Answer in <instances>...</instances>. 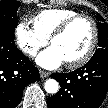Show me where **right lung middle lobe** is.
<instances>
[{
  "label": "right lung middle lobe",
  "mask_w": 108,
  "mask_h": 108,
  "mask_svg": "<svg viewBox=\"0 0 108 108\" xmlns=\"http://www.w3.org/2000/svg\"><path fill=\"white\" fill-rule=\"evenodd\" d=\"M20 5L19 1H0V33L13 40L14 30L18 22L16 14Z\"/></svg>",
  "instance_id": "dd1d6c3e"
}]
</instances>
